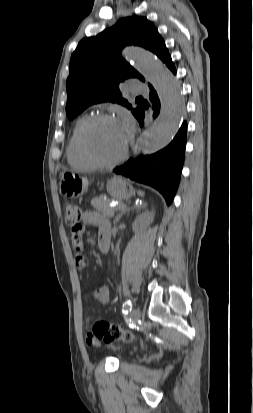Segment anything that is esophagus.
Wrapping results in <instances>:
<instances>
[{"instance_id":"esophagus-1","label":"esophagus","mask_w":253,"mask_h":413,"mask_svg":"<svg viewBox=\"0 0 253 413\" xmlns=\"http://www.w3.org/2000/svg\"><path fill=\"white\" fill-rule=\"evenodd\" d=\"M140 150V144L139 141L137 142L135 149H134V154H137V152Z\"/></svg>"}]
</instances>
